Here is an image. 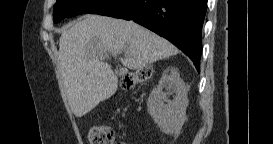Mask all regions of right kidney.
<instances>
[{
    "label": "right kidney",
    "mask_w": 273,
    "mask_h": 144,
    "mask_svg": "<svg viewBox=\"0 0 273 144\" xmlns=\"http://www.w3.org/2000/svg\"><path fill=\"white\" fill-rule=\"evenodd\" d=\"M187 91L188 87L179 73L172 69L171 74L163 76L158 87L150 94L147 102L149 113L164 133L178 134L182 129L187 119ZM171 92L176 94L172 101L167 98Z\"/></svg>",
    "instance_id": "right-kidney-1"
}]
</instances>
